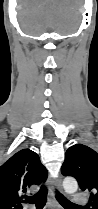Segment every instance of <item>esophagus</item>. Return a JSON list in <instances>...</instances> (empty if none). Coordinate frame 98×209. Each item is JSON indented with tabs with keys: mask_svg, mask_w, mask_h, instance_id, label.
Returning a JSON list of instances; mask_svg holds the SVG:
<instances>
[{
	"mask_svg": "<svg viewBox=\"0 0 98 209\" xmlns=\"http://www.w3.org/2000/svg\"><path fill=\"white\" fill-rule=\"evenodd\" d=\"M58 190V191H62V182H61V179L60 178H56L53 182V187L50 191V197L51 199L54 201V194H55V191Z\"/></svg>",
	"mask_w": 98,
	"mask_h": 209,
	"instance_id": "esophagus-1",
	"label": "esophagus"
}]
</instances>
